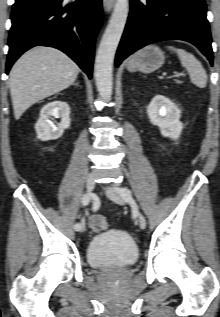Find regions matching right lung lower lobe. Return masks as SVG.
<instances>
[{
    "label": "right lung lower lobe",
    "instance_id": "obj_1",
    "mask_svg": "<svg viewBox=\"0 0 220 317\" xmlns=\"http://www.w3.org/2000/svg\"><path fill=\"white\" fill-rule=\"evenodd\" d=\"M11 20L6 73L26 50L42 45L65 52L92 77L101 0H76L67 6L63 0H16Z\"/></svg>",
    "mask_w": 220,
    "mask_h": 317
}]
</instances>
